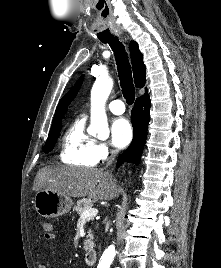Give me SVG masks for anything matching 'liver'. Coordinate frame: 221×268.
Returning <instances> with one entry per match:
<instances>
[{
	"mask_svg": "<svg viewBox=\"0 0 221 268\" xmlns=\"http://www.w3.org/2000/svg\"><path fill=\"white\" fill-rule=\"evenodd\" d=\"M33 191L50 190L69 197L88 196L94 200H112L120 193L108 172L97 168L46 166L37 172Z\"/></svg>",
	"mask_w": 221,
	"mask_h": 268,
	"instance_id": "1",
	"label": "liver"
}]
</instances>
